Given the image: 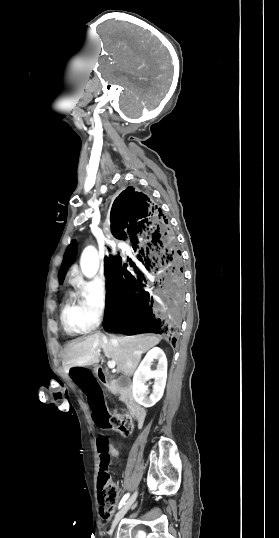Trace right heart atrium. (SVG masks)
Returning a JSON list of instances; mask_svg holds the SVG:
<instances>
[{"label": "right heart atrium", "instance_id": "right-heart-atrium-1", "mask_svg": "<svg viewBox=\"0 0 279 538\" xmlns=\"http://www.w3.org/2000/svg\"><path fill=\"white\" fill-rule=\"evenodd\" d=\"M84 302V317L88 330L97 328L108 309V293L98 280L91 281L81 292Z\"/></svg>", "mask_w": 279, "mask_h": 538}]
</instances>
